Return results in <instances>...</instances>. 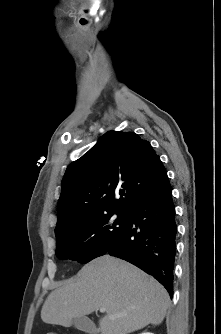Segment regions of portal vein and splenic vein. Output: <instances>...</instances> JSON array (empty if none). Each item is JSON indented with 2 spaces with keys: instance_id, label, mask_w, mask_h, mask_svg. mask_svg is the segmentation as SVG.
<instances>
[{
  "instance_id": "portal-vein-and-splenic-vein-1",
  "label": "portal vein and splenic vein",
  "mask_w": 221,
  "mask_h": 334,
  "mask_svg": "<svg viewBox=\"0 0 221 334\" xmlns=\"http://www.w3.org/2000/svg\"><path fill=\"white\" fill-rule=\"evenodd\" d=\"M100 312H105V308H100Z\"/></svg>"
}]
</instances>
